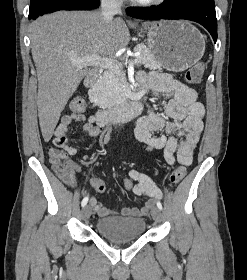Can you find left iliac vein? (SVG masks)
<instances>
[{
    "label": "left iliac vein",
    "instance_id": "4c4485c4",
    "mask_svg": "<svg viewBox=\"0 0 247 280\" xmlns=\"http://www.w3.org/2000/svg\"><path fill=\"white\" fill-rule=\"evenodd\" d=\"M151 215L156 222H158V223L161 222L162 214H161V211L159 208L153 207L151 210Z\"/></svg>",
    "mask_w": 247,
    "mask_h": 280
}]
</instances>
